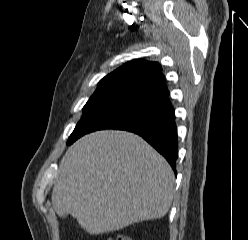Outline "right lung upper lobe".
Listing matches in <instances>:
<instances>
[{
  "instance_id": "cb5924a9",
  "label": "right lung upper lobe",
  "mask_w": 248,
  "mask_h": 240,
  "mask_svg": "<svg viewBox=\"0 0 248 240\" xmlns=\"http://www.w3.org/2000/svg\"><path fill=\"white\" fill-rule=\"evenodd\" d=\"M96 91H110L140 101L166 93L168 89L160 64L139 59L105 76Z\"/></svg>"
}]
</instances>
